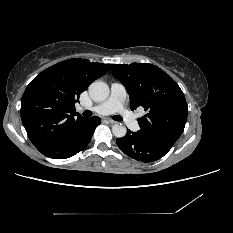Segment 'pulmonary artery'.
Segmentation results:
<instances>
[{"label":"pulmonary artery","mask_w":233,"mask_h":233,"mask_svg":"<svg viewBox=\"0 0 233 233\" xmlns=\"http://www.w3.org/2000/svg\"><path fill=\"white\" fill-rule=\"evenodd\" d=\"M126 95V90L122 84L112 83L109 97L104 102L94 107L93 110L101 115L117 112L129 128L138 130L139 122L137 118L124 107Z\"/></svg>","instance_id":"pulmonary-artery-1"}]
</instances>
